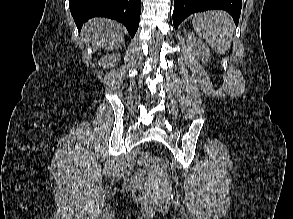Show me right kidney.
I'll use <instances>...</instances> for the list:
<instances>
[{
    "instance_id": "ca27d5eb",
    "label": "right kidney",
    "mask_w": 293,
    "mask_h": 219,
    "mask_svg": "<svg viewBox=\"0 0 293 219\" xmlns=\"http://www.w3.org/2000/svg\"><path fill=\"white\" fill-rule=\"evenodd\" d=\"M117 60H118V56L115 54H111L101 58L99 61V65H102L103 67H109L113 63H115Z\"/></svg>"
}]
</instances>
